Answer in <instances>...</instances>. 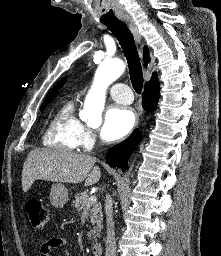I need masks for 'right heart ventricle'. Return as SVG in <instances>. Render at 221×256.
<instances>
[{
    "label": "right heart ventricle",
    "instance_id": "right-heart-ventricle-1",
    "mask_svg": "<svg viewBox=\"0 0 221 256\" xmlns=\"http://www.w3.org/2000/svg\"><path fill=\"white\" fill-rule=\"evenodd\" d=\"M80 125L75 115L74 101L64 102L49 120L43 137L44 145L65 151L75 150L78 147Z\"/></svg>",
    "mask_w": 221,
    "mask_h": 256
}]
</instances>
